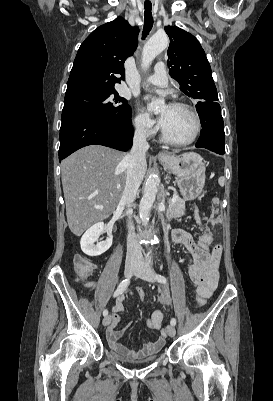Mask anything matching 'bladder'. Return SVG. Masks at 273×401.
Wrapping results in <instances>:
<instances>
[{
    "mask_svg": "<svg viewBox=\"0 0 273 401\" xmlns=\"http://www.w3.org/2000/svg\"><path fill=\"white\" fill-rule=\"evenodd\" d=\"M110 355L112 356V358L114 360L118 361L119 363L126 364V365L149 364V363L154 362L158 358V355L156 354V355L149 356L142 360L132 361V360L126 359L125 357L121 356L120 354L116 353L115 351H110Z\"/></svg>",
    "mask_w": 273,
    "mask_h": 401,
    "instance_id": "obj_1",
    "label": "bladder"
}]
</instances>
